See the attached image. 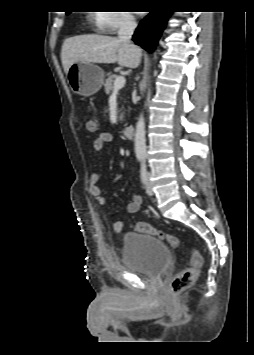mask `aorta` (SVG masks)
Returning a JSON list of instances; mask_svg holds the SVG:
<instances>
[{
	"instance_id": "1",
	"label": "aorta",
	"mask_w": 254,
	"mask_h": 355,
	"mask_svg": "<svg viewBox=\"0 0 254 355\" xmlns=\"http://www.w3.org/2000/svg\"><path fill=\"white\" fill-rule=\"evenodd\" d=\"M135 153L139 158L146 156V137H145V119L143 114L140 115L136 124L135 138Z\"/></svg>"
}]
</instances>
